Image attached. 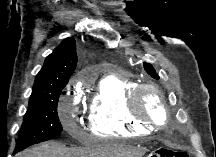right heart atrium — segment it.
I'll return each mask as SVG.
<instances>
[{
	"label": "right heart atrium",
	"mask_w": 216,
	"mask_h": 157,
	"mask_svg": "<svg viewBox=\"0 0 216 157\" xmlns=\"http://www.w3.org/2000/svg\"><path fill=\"white\" fill-rule=\"evenodd\" d=\"M75 106L76 102H73L69 113L63 115L62 117V123L64 124V127L69 131H73V129L77 126V119L75 117Z\"/></svg>",
	"instance_id": "1"
}]
</instances>
